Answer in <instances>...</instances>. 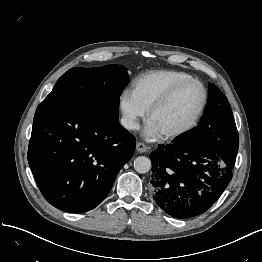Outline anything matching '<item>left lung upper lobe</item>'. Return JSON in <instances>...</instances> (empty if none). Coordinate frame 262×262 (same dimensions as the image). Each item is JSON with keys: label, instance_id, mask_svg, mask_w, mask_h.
I'll use <instances>...</instances> for the list:
<instances>
[{"label": "left lung upper lobe", "instance_id": "obj_1", "mask_svg": "<svg viewBox=\"0 0 262 262\" xmlns=\"http://www.w3.org/2000/svg\"><path fill=\"white\" fill-rule=\"evenodd\" d=\"M222 135H238L234 117L226 96L209 83V98L199 125L178 140L185 143L217 145Z\"/></svg>", "mask_w": 262, "mask_h": 262}]
</instances>
